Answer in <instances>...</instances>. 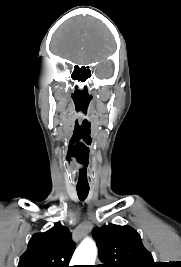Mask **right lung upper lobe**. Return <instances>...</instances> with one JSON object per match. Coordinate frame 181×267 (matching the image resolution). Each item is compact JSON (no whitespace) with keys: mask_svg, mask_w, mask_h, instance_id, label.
I'll return each mask as SVG.
<instances>
[{"mask_svg":"<svg viewBox=\"0 0 181 267\" xmlns=\"http://www.w3.org/2000/svg\"><path fill=\"white\" fill-rule=\"evenodd\" d=\"M74 250L69 229L57 223L49 231L32 236L18 267H69Z\"/></svg>","mask_w":181,"mask_h":267,"instance_id":"cb5924a9","label":"right lung upper lobe"}]
</instances>
